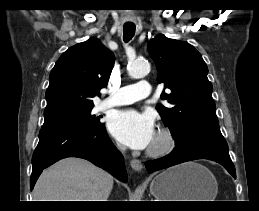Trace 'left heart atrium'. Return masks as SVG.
<instances>
[{"instance_id":"left-heart-atrium-1","label":"left heart atrium","mask_w":259,"mask_h":211,"mask_svg":"<svg viewBox=\"0 0 259 211\" xmlns=\"http://www.w3.org/2000/svg\"><path fill=\"white\" fill-rule=\"evenodd\" d=\"M108 128L118 141L132 149H145L156 137L152 117L133 109L113 113L109 117Z\"/></svg>"}]
</instances>
